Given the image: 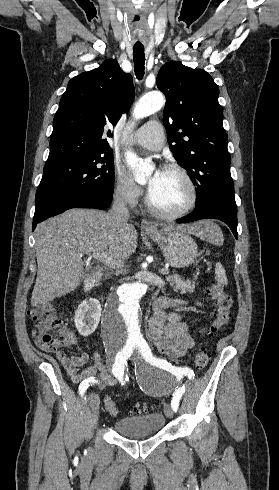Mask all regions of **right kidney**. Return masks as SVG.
Segmentation results:
<instances>
[{
	"instance_id": "right-kidney-1",
	"label": "right kidney",
	"mask_w": 279,
	"mask_h": 490,
	"mask_svg": "<svg viewBox=\"0 0 279 490\" xmlns=\"http://www.w3.org/2000/svg\"><path fill=\"white\" fill-rule=\"evenodd\" d=\"M101 318V304L95 298H89L79 304L75 316V326L80 336H90L95 332Z\"/></svg>"
}]
</instances>
